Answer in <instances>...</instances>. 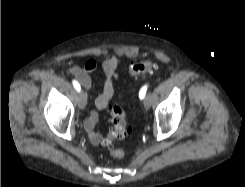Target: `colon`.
I'll return each instance as SVG.
<instances>
[{
  "mask_svg": "<svg viewBox=\"0 0 245 187\" xmlns=\"http://www.w3.org/2000/svg\"><path fill=\"white\" fill-rule=\"evenodd\" d=\"M157 67V62L154 59H147L141 62L132 63L128 72L132 76H145L153 72ZM109 115L112 123L110 137L105 141L111 145L114 139H123L131 133V127L127 122V115L120 105H112L109 107ZM110 153L115 158H122L124 151L119 148H111Z\"/></svg>",
  "mask_w": 245,
  "mask_h": 187,
  "instance_id": "colon-1",
  "label": "colon"
}]
</instances>
